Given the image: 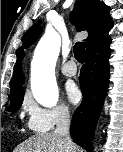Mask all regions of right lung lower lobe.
Returning a JSON list of instances; mask_svg holds the SVG:
<instances>
[{"mask_svg":"<svg viewBox=\"0 0 123 152\" xmlns=\"http://www.w3.org/2000/svg\"><path fill=\"white\" fill-rule=\"evenodd\" d=\"M110 39L86 52V64L79 77L83 100L76 109L70 134L74 142L92 151V139L109 83Z\"/></svg>","mask_w":123,"mask_h":152,"instance_id":"obj_1","label":"right lung lower lobe"}]
</instances>
